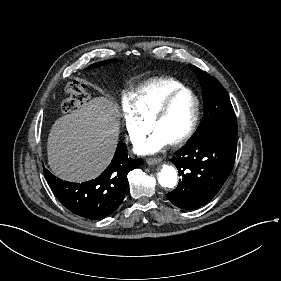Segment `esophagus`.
<instances>
[{
  "instance_id": "esophagus-1",
  "label": "esophagus",
  "mask_w": 281,
  "mask_h": 281,
  "mask_svg": "<svg viewBox=\"0 0 281 281\" xmlns=\"http://www.w3.org/2000/svg\"><path fill=\"white\" fill-rule=\"evenodd\" d=\"M162 160L160 158H150L147 160V163L149 165H156L158 163H160Z\"/></svg>"
}]
</instances>
